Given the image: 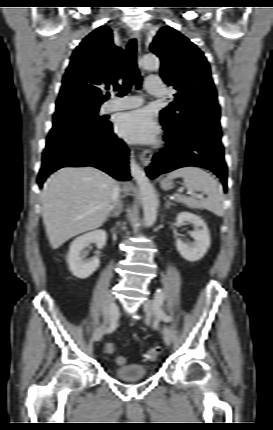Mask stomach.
Listing matches in <instances>:
<instances>
[{"label": "stomach", "instance_id": "0dacf381", "mask_svg": "<svg viewBox=\"0 0 273 430\" xmlns=\"http://www.w3.org/2000/svg\"><path fill=\"white\" fill-rule=\"evenodd\" d=\"M172 185H173L172 181L168 178H165L161 181V187L165 190L170 189Z\"/></svg>", "mask_w": 273, "mask_h": 430}]
</instances>
